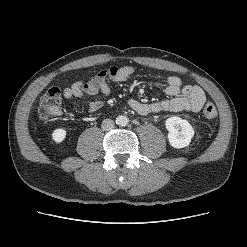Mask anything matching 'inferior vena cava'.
<instances>
[{"instance_id": "obj_1", "label": "inferior vena cava", "mask_w": 247, "mask_h": 247, "mask_svg": "<svg viewBox=\"0 0 247 247\" xmlns=\"http://www.w3.org/2000/svg\"><path fill=\"white\" fill-rule=\"evenodd\" d=\"M114 125H115V123H114L113 120H111V119H104L102 121L101 128L103 130H105V131H110V130H112L114 128Z\"/></svg>"}]
</instances>
